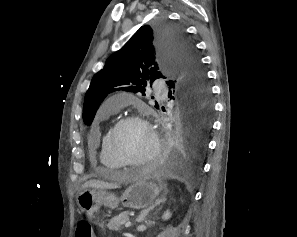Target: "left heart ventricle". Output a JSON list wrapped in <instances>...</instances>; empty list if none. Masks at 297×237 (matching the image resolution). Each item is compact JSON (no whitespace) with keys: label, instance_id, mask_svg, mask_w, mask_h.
<instances>
[{"label":"left heart ventricle","instance_id":"1","mask_svg":"<svg viewBox=\"0 0 297 237\" xmlns=\"http://www.w3.org/2000/svg\"><path fill=\"white\" fill-rule=\"evenodd\" d=\"M116 150L127 160L145 158L152 149V138L148 129L140 123H127L121 126L113 137Z\"/></svg>","mask_w":297,"mask_h":237}]
</instances>
